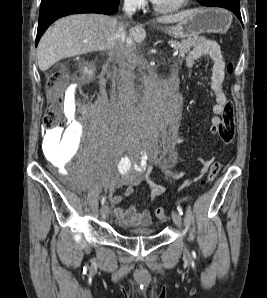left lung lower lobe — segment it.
<instances>
[{
    "mask_svg": "<svg viewBox=\"0 0 267 298\" xmlns=\"http://www.w3.org/2000/svg\"><path fill=\"white\" fill-rule=\"evenodd\" d=\"M208 7H222L232 11L238 19L242 22L241 14H240V6L239 3L232 0H211L207 2Z\"/></svg>",
    "mask_w": 267,
    "mask_h": 298,
    "instance_id": "left-lung-lower-lobe-1",
    "label": "left lung lower lobe"
}]
</instances>
